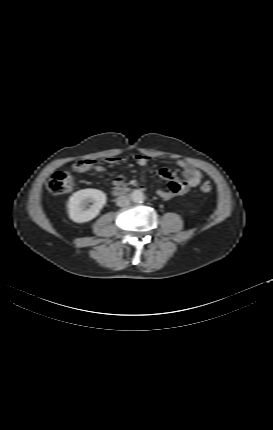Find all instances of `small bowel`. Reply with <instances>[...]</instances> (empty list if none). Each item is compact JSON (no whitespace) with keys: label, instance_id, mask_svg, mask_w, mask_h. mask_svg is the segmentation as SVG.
I'll return each mask as SVG.
<instances>
[{"label":"small bowel","instance_id":"c3829d8e","mask_svg":"<svg viewBox=\"0 0 273 430\" xmlns=\"http://www.w3.org/2000/svg\"><path fill=\"white\" fill-rule=\"evenodd\" d=\"M136 163L144 168L148 165L150 158L146 155H137ZM120 160L119 157H108L105 159V162L109 164H116ZM178 167L182 170L184 180H180L176 177V173L170 171L169 169H163L160 171L161 176L167 180V189H158L156 190V194L163 200H169L176 196L185 194L190 189L195 188L199 185L202 179V172L194 167L193 165L187 163L184 160L177 161ZM90 167H95L99 177L103 175V168L101 166V161L98 159H85L76 162L73 166L76 172H83ZM125 181V177L123 175H116L113 182L115 185H121ZM140 187L143 188L144 185L140 184Z\"/></svg>","mask_w":273,"mask_h":430}]
</instances>
